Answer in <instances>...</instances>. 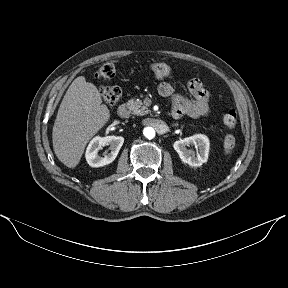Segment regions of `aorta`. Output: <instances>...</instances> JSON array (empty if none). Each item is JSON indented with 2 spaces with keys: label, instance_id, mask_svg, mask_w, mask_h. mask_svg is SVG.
I'll list each match as a JSON object with an SVG mask.
<instances>
[{
  "label": "aorta",
  "instance_id": "762f6f07",
  "mask_svg": "<svg viewBox=\"0 0 288 288\" xmlns=\"http://www.w3.org/2000/svg\"><path fill=\"white\" fill-rule=\"evenodd\" d=\"M143 134L147 139H153L155 137V130L152 127H146L143 130Z\"/></svg>",
  "mask_w": 288,
  "mask_h": 288
}]
</instances>
